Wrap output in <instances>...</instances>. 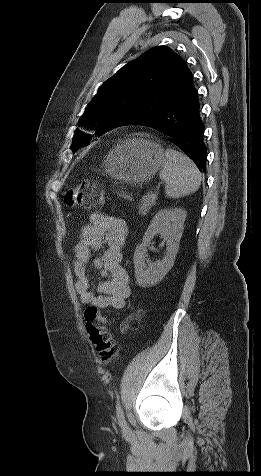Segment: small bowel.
<instances>
[{
  "label": "small bowel",
  "instance_id": "small-bowel-1",
  "mask_svg": "<svg viewBox=\"0 0 261 476\" xmlns=\"http://www.w3.org/2000/svg\"><path fill=\"white\" fill-rule=\"evenodd\" d=\"M128 226L125 220L101 213L90 216V224L81 229L80 239L73 247V270L77 278L75 289L83 304L98 309H123L130 297L129 276L121 265ZM104 249L101 257L94 258V266L104 280L97 293L90 288L87 266L94 251Z\"/></svg>",
  "mask_w": 261,
  "mask_h": 476
}]
</instances>
